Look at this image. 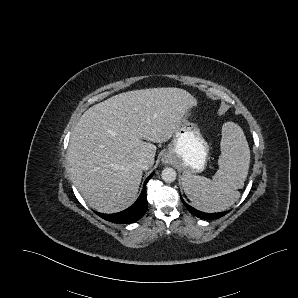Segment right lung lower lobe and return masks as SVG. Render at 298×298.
<instances>
[{
	"label": "right lung lower lobe",
	"mask_w": 298,
	"mask_h": 298,
	"mask_svg": "<svg viewBox=\"0 0 298 298\" xmlns=\"http://www.w3.org/2000/svg\"><path fill=\"white\" fill-rule=\"evenodd\" d=\"M152 176H153V173L146 179L144 183V188L139 198L131 207L115 214H103L99 212H96V214L107 221H110L113 223H119V224L120 223L128 224L139 220L148 209V201L146 199L145 184L148 182L149 179L152 178Z\"/></svg>",
	"instance_id": "1"
}]
</instances>
